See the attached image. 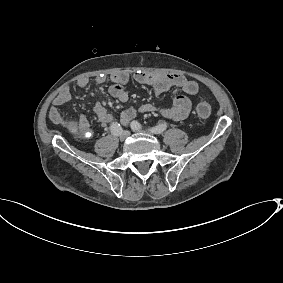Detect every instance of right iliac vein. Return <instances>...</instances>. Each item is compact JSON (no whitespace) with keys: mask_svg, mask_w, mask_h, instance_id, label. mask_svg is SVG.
Masks as SVG:
<instances>
[{"mask_svg":"<svg viewBox=\"0 0 283 283\" xmlns=\"http://www.w3.org/2000/svg\"><path fill=\"white\" fill-rule=\"evenodd\" d=\"M129 135H130L129 131L127 130L122 131L120 134V140L121 141L126 140L129 137Z\"/></svg>","mask_w":283,"mask_h":283,"instance_id":"1","label":"right iliac vein"}]
</instances>
